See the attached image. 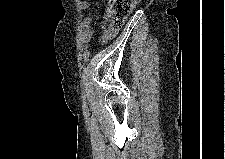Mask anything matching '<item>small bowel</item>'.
<instances>
[{"label":"small bowel","mask_w":225,"mask_h":159,"mask_svg":"<svg viewBox=\"0 0 225 159\" xmlns=\"http://www.w3.org/2000/svg\"><path fill=\"white\" fill-rule=\"evenodd\" d=\"M89 8L90 6L87 1H81L79 3L80 11L85 12ZM95 19H97V17L92 15L86 16L82 19L81 25H80V35H79V40L81 44L86 45L90 42L92 38V33H93L92 24ZM102 28H103V34L100 39V43L105 44L108 40H110L113 37V32L104 25H102Z\"/></svg>","instance_id":"obj_1"}]
</instances>
